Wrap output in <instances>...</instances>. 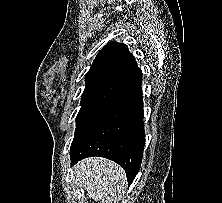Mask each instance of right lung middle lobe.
<instances>
[{
    "mask_svg": "<svg viewBox=\"0 0 222 203\" xmlns=\"http://www.w3.org/2000/svg\"><path fill=\"white\" fill-rule=\"evenodd\" d=\"M112 96L113 94L109 92L84 90L81 97V108L76 118V124L79 125Z\"/></svg>",
    "mask_w": 222,
    "mask_h": 203,
    "instance_id": "right-lung-middle-lobe-1",
    "label": "right lung middle lobe"
}]
</instances>
